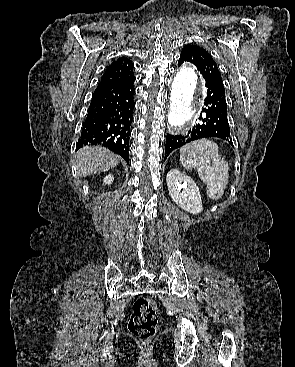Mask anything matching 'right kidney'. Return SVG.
I'll return each mask as SVG.
<instances>
[{
  "label": "right kidney",
  "mask_w": 295,
  "mask_h": 367,
  "mask_svg": "<svg viewBox=\"0 0 295 367\" xmlns=\"http://www.w3.org/2000/svg\"><path fill=\"white\" fill-rule=\"evenodd\" d=\"M113 180H114L113 175L109 174L108 176H106V177L104 178L103 182H104L105 184L110 185V184L113 182Z\"/></svg>",
  "instance_id": "1"
}]
</instances>
